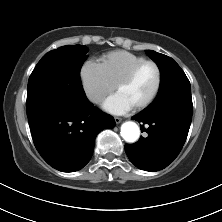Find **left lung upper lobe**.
Segmentation results:
<instances>
[{"mask_svg":"<svg viewBox=\"0 0 222 222\" xmlns=\"http://www.w3.org/2000/svg\"><path fill=\"white\" fill-rule=\"evenodd\" d=\"M147 52L161 73L160 88L154 101L169 95L191 96L190 82L175 60L155 51L147 50Z\"/></svg>","mask_w":222,"mask_h":222,"instance_id":"obj_1","label":"left lung upper lobe"}]
</instances>
